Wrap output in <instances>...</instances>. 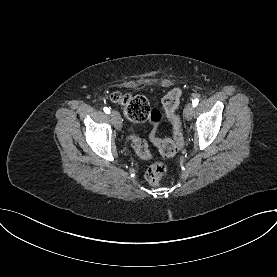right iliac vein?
Returning <instances> with one entry per match:
<instances>
[{
  "mask_svg": "<svg viewBox=\"0 0 277 277\" xmlns=\"http://www.w3.org/2000/svg\"><path fill=\"white\" fill-rule=\"evenodd\" d=\"M111 118L116 129L120 130L122 128V120L118 112L112 111Z\"/></svg>",
  "mask_w": 277,
  "mask_h": 277,
  "instance_id": "right-iliac-vein-1",
  "label": "right iliac vein"
}]
</instances>
